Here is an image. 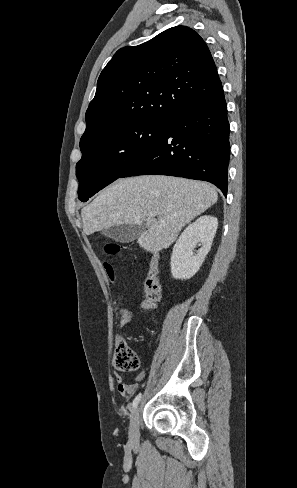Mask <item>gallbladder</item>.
I'll return each instance as SVG.
<instances>
[{
	"mask_svg": "<svg viewBox=\"0 0 297 488\" xmlns=\"http://www.w3.org/2000/svg\"><path fill=\"white\" fill-rule=\"evenodd\" d=\"M145 230L142 224H121L110 226L102 231L104 236L119 243H128L139 237Z\"/></svg>",
	"mask_w": 297,
	"mask_h": 488,
	"instance_id": "gallbladder-1",
	"label": "gallbladder"
}]
</instances>
